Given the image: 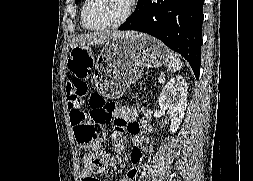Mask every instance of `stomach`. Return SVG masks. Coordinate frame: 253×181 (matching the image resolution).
<instances>
[{
	"label": "stomach",
	"instance_id": "0dacf381",
	"mask_svg": "<svg viewBox=\"0 0 253 181\" xmlns=\"http://www.w3.org/2000/svg\"><path fill=\"white\" fill-rule=\"evenodd\" d=\"M168 55L163 43L143 33L109 39L96 61L97 88L107 98H119L142 76L144 67H161Z\"/></svg>",
	"mask_w": 253,
	"mask_h": 181
}]
</instances>
